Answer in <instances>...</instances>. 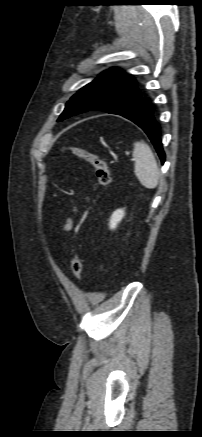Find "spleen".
Here are the masks:
<instances>
[{"label":"spleen","mask_w":202,"mask_h":437,"mask_svg":"<svg viewBox=\"0 0 202 437\" xmlns=\"http://www.w3.org/2000/svg\"><path fill=\"white\" fill-rule=\"evenodd\" d=\"M133 158L134 173L140 183L148 189L156 188L160 172L151 148L143 141L135 142Z\"/></svg>","instance_id":"3e777b00"}]
</instances>
